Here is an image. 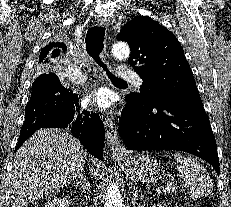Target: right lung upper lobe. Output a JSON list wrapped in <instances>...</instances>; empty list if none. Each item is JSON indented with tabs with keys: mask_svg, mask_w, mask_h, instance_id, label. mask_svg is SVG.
<instances>
[{
	"mask_svg": "<svg viewBox=\"0 0 231 207\" xmlns=\"http://www.w3.org/2000/svg\"><path fill=\"white\" fill-rule=\"evenodd\" d=\"M67 50L66 45L64 43L60 42H53L46 46L39 57V62L41 64H46L51 62V60L58 57L62 52H65Z\"/></svg>",
	"mask_w": 231,
	"mask_h": 207,
	"instance_id": "1",
	"label": "right lung upper lobe"
}]
</instances>
